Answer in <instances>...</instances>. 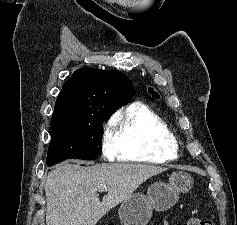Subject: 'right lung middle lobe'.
Instances as JSON below:
<instances>
[{
  "instance_id": "right-lung-middle-lobe-1",
  "label": "right lung middle lobe",
  "mask_w": 237,
  "mask_h": 225,
  "mask_svg": "<svg viewBox=\"0 0 237 225\" xmlns=\"http://www.w3.org/2000/svg\"><path fill=\"white\" fill-rule=\"evenodd\" d=\"M112 114L113 112L103 111L89 121L66 118L52 119L51 141L47 159L76 158L93 160L98 158L102 145V124Z\"/></svg>"
}]
</instances>
